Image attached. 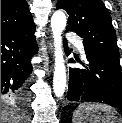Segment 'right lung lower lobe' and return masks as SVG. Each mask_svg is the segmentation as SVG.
<instances>
[{
	"label": "right lung lower lobe",
	"mask_w": 122,
	"mask_h": 123,
	"mask_svg": "<svg viewBox=\"0 0 122 123\" xmlns=\"http://www.w3.org/2000/svg\"><path fill=\"white\" fill-rule=\"evenodd\" d=\"M34 31L1 32V97L25 100L32 72L30 60L38 51Z\"/></svg>",
	"instance_id": "obj_1"
}]
</instances>
